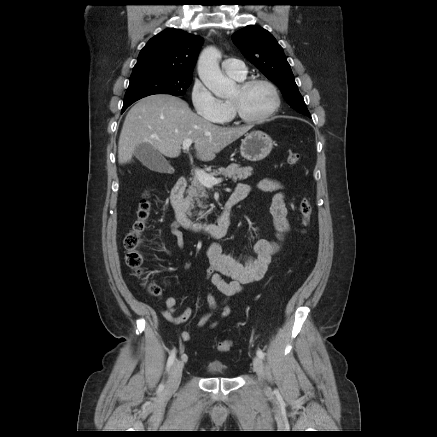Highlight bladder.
Segmentation results:
<instances>
[{"instance_id":"bladder-1","label":"bladder","mask_w":437,"mask_h":437,"mask_svg":"<svg viewBox=\"0 0 437 437\" xmlns=\"http://www.w3.org/2000/svg\"><path fill=\"white\" fill-rule=\"evenodd\" d=\"M207 371L211 375H224L227 372V366L219 361L210 362L207 365Z\"/></svg>"}]
</instances>
